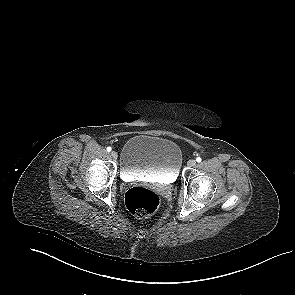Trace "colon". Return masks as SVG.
Wrapping results in <instances>:
<instances>
[{"instance_id": "5ec220e1", "label": "colon", "mask_w": 295, "mask_h": 295, "mask_svg": "<svg viewBox=\"0 0 295 295\" xmlns=\"http://www.w3.org/2000/svg\"><path fill=\"white\" fill-rule=\"evenodd\" d=\"M125 203L135 217L145 218L157 210L160 197L156 192L147 188L133 187L126 192Z\"/></svg>"}]
</instances>
